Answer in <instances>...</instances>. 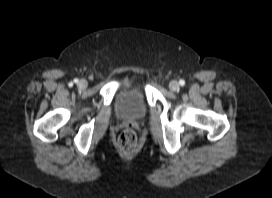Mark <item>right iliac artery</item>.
<instances>
[{
  "label": "right iliac artery",
  "mask_w": 272,
  "mask_h": 198,
  "mask_svg": "<svg viewBox=\"0 0 272 198\" xmlns=\"http://www.w3.org/2000/svg\"><path fill=\"white\" fill-rule=\"evenodd\" d=\"M74 81H75V82H78V80H77V79H75Z\"/></svg>",
  "instance_id": "1"
}]
</instances>
